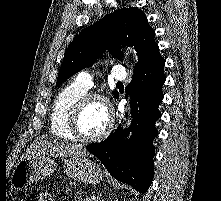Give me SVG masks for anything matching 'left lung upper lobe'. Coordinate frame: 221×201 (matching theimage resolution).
I'll return each instance as SVG.
<instances>
[{"instance_id": "1", "label": "left lung upper lobe", "mask_w": 221, "mask_h": 201, "mask_svg": "<svg viewBox=\"0 0 221 201\" xmlns=\"http://www.w3.org/2000/svg\"><path fill=\"white\" fill-rule=\"evenodd\" d=\"M155 31L150 27L143 11L137 7L123 8L104 16L97 23L85 28L77 35L66 50L58 74L56 87L78 71L89 67L105 51L121 59L120 47L134 46L138 63L134 75L141 72L159 54L154 40ZM118 97V92H113Z\"/></svg>"}]
</instances>
